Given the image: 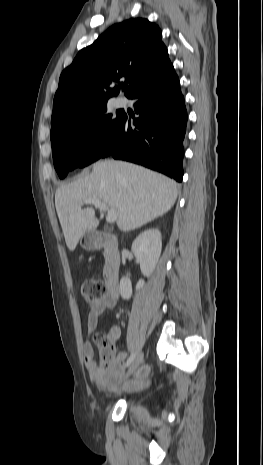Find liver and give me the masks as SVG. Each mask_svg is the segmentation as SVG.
<instances>
[{
  "instance_id": "liver-1",
  "label": "liver",
  "mask_w": 263,
  "mask_h": 465,
  "mask_svg": "<svg viewBox=\"0 0 263 465\" xmlns=\"http://www.w3.org/2000/svg\"><path fill=\"white\" fill-rule=\"evenodd\" d=\"M177 183L160 173L124 161H98L92 172L60 186L55 206L66 245L74 251L87 231L95 230L99 220L92 207L82 209L87 199H97L116 211L121 231H130L167 213L175 204Z\"/></svg>"
}]
</instances>
